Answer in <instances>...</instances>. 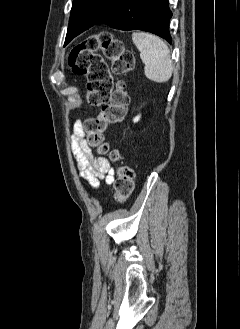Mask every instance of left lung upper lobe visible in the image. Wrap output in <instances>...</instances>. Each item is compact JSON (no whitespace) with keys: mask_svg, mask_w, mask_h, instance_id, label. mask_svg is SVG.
I'll use <instances>...</instances> for the list:
<instances>
[{"mask_svg":"<svg viewBox=\"0 0 240 329\" xmlns=\"http://www.w3.org/2000/svg\"><path fill=\"white\" fill-rule=\"evenodd\" d=\"M120 0H73L68 31L67 45L74 37L95 25Z\"/></svg>","mask_w":240,"mask_h":329,"instance_id":"obj_1","label":"left lung upper lobe"}]
</instances>
